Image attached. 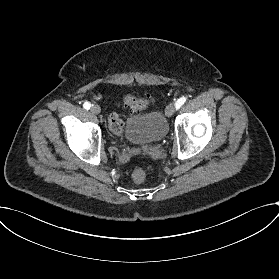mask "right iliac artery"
Listing matches in <instances>:
<instances>
[{
	"label": "right iliac artery",
	"mask_w": 279,
	"mask_h": 279,
	"mask_svg": "<svg viewBox=\"0 0 279 279\" xmlns=\"http://www.w3.org/2000/svg\"><path fill=\"white\" fill-rule=\"evenodd\" d=\"M83 107H84L86 110H89L90 107H91V104H90L89 102H85V103L83 104Z\"/></svg>",
	"instance_id": "1"
}]
</instances>
